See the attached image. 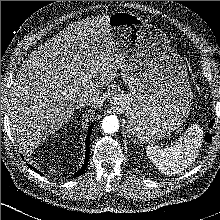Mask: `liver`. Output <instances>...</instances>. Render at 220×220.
Returning <instances> with one entry per match:
<instances>
[{
    "label": "liver",
    "mask_w": 220,
    "mask_h": 220,
    "mask_svg": "<svg viewBox=\"0 0 220 220\" xmlns=\"http://www.w3.org/2000/svg\"><path fill=\"white\" fill-rule=\"evenodd\" d=\"M109 16L77 21L34 50L18 70L6 106L17 142L34 149L66 124L82 94L102 103L100 89L117 76L120 59Z\"/></svg>",
    "instance_id": "1"
}]
</instances>
